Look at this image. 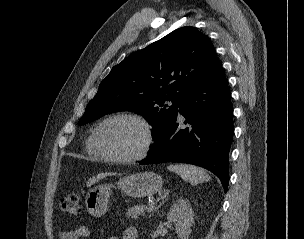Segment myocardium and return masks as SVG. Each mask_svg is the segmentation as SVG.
Returning <instances> with one entry per match:
<instances>
[{"mask_svg": "<svg viewBox=\"0 0 304 239\" xmlns=\"http://www.w3.org/2000/svg\"><path fill=\"white\" fill-rule=\"evenodd\" d=\"M117 119H130L139 123L144 129L145 139L141 149L130 156H116L105 151L99 142V133L105 124ZM154 142V132L150 122L142 115L133 112H120L103 119L92 133V143L97 153L105 160L116 164H130L146 157Z\"/></svg>", "mask_w": 304, "mask_h": 239, "instance_id": "obj_1", "label": "myocardium"}]
</instances>
